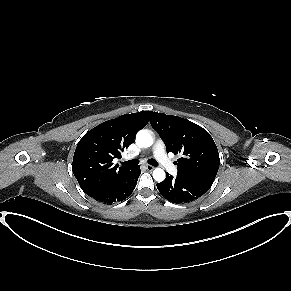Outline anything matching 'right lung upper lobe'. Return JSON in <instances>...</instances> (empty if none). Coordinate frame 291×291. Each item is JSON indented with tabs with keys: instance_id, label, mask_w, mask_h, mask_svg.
<instances>
[{
	"instance_id": "cb5924a9",
	"label": "right lung upper lobe",
	"mask_w": 291,
	"mask_h": 291,
	"mask_svg": "<svg viewBox=\"0 0 291 291\" xmlns=\"http://www.w3.org/2000/svg\"><path fill=\"white\" fill-rule=\"evenodd\" d=\"M150 112L125 114L106 121L88 131L77 144L72 169L82 188L94 196L114 184L132 167L113 164L114 158L121 157L136 133L149 121Z\"/></svg>"
}]
</instances>
